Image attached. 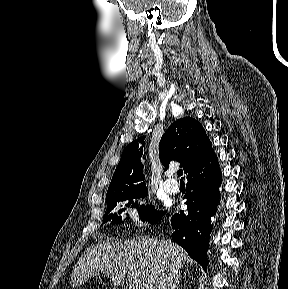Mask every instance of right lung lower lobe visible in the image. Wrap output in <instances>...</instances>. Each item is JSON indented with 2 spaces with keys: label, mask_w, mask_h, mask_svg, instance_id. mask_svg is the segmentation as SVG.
I'll list each match as a JSON object with an SVG mask.
<instances>
[{
  "label": "right lung lower lobe",
  "mask_w": 288,
  "mask_h": 289,
  "mask_svg": "<svg viewBox=\"0 0 288 289\" xmlns=\"http://www.w3.org/2000/svg\"><path fill=\"white\" fill-rule=\"evenodd\" d=\"M186 178L184 199L188 212L181 211L171 218L172 237L191 258L206 268L209 236L213 228L210 219L220 198L221 171L215 153L189 172Z\"/></svg>",
  "instance_id": "98d812e1"
}]
</instances>
